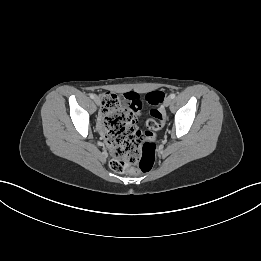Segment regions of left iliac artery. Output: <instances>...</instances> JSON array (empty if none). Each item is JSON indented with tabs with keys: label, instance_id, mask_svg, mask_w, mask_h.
Masks as SVG:
<instances>
[{
	"label": "left iliac artery",
	"instance_id": "left-iliac-artery-1",
	"mask_svg": "<svg viewBox=\"0 0 261 261\" xmlns=\"http://www.w3.org/2000/svg\"><path fill=\"white\" fill-rule=\"evenodd\" d=\"M175 96H176V95H175L174 93L170 94V98H171V99H174Z\"/></svg>",
	"mask_w": 261,
	"mask_h": 261
}]
</instances>
